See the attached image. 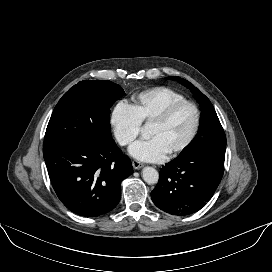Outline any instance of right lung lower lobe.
<instances>
[{
  "label": "right lung lower lobe",
  "instance_id": "1",
  "mask_svg": "<svg viewBox=\"0 0 272 272\" xmlns=\"http://www.w3.org/2000/svg\"><path fill=\"white\" fill-rule=\"evenodd\" d=\"M43 154L58 198L84 217L114 209L121 198V181L133 173L129 157L114 140L98 144L91 139H74Z\"/></svg>",
  "mask_w": 272,
  "mask_h": 272
}]
</instances>
